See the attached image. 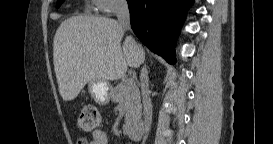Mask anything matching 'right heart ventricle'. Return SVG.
Returning <instances> with one entry per match:
<instances>
[{
    "label": "right heart ventricle",
    "mask_w": 273,
    "mask_h": 144,
    "mask_svg": "<svg viewBox=\"0 0 273 144\" xmlns=\"http://www.w3.org/2000/svg\"><path fill=\"white\" fill-rule=\"evenodd\" d=\"M87 11H90V7L87 8Z\"/></svg>",
    "instance_id": "1"
}]
</instances>
